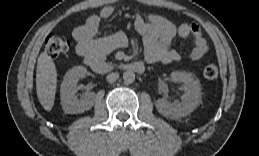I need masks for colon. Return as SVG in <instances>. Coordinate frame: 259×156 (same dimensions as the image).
<instances>
[{"label": "colon", "instance_id": "5ec220e1", "mask_svg": "<svg viewBox=\"0 0 259 156\" xmlns=\"http://www.w3.org/2000/svg\"><path fill=\"white\" fill-rule=\"evenodd\" d=\"M70 48V42L67 38L56 33H50L45 40V51L49 57H58L65 54ZM207 79H214L218 76V68L214 64H208L203 70Z\"/></svg>", "mask_w": 259, "mask_h": 156}]
</instances>
